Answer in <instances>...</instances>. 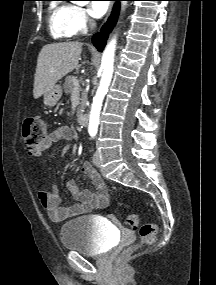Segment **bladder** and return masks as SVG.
<instances>
[{"mask_svg":"<svg viewBox=\"0 0 216 285\" xmlns=\"http://www.w3.org/2000/svg\"><path fill=\"white\" fill-rule=\"evenodd\" d=\"M60 239L68 250L86 255H102L112 247L115 233L105 222L86 215L63 224Z\"/></svg>","mask_w":216,"mask_h":285,"instance_id":"31cf9c89","label":"bladder"}]
</instances>
